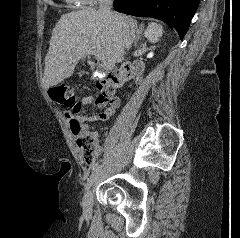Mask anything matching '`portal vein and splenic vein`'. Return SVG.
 <instances>
[{
    "mask_svg": "<svg viewBox=\"0 0 240 238\" xmlns=\"http://www.w3.org/2000/svg\"><path fill=\"white\" fill-rule=\"evenodd\" d=\"M85 52H86V54H93L96 57H98L99 59H101L103 62V66L106 69H109L113 66V64L110 61H108L104 56H102L101 53H99V51H97V49L94 46L86 47Z\"/></svg>",
    "mask_w": 240,
    "mask_h": 238,
    "instance_id": "portal-vein-and-splenic-vein-1",
    "label": "portal vein and splenic vein"
}]
</instances>
